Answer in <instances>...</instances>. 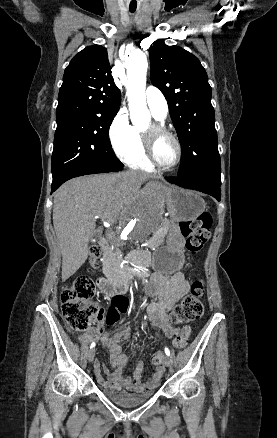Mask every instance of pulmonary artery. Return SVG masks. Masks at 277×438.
<instances>
[{
  "mask_svg": "<svg viewBox=\"0 0 277 438\" xmlns=\"http://www.w3.org/2000/svg\"><path fill=\"white\" fill-rule=\"evenodd\" d=\"M165 92L164 87H151L147 98L144 99L152 116L157 120H165L169 113L168 103L164 98Z\"/></svg>",
  "mask_w": 277,
  "mask_h": 438,
  "instance_id": "e3ab8cb5",
  "label": "pulmonary artery"
}]
</instances>
